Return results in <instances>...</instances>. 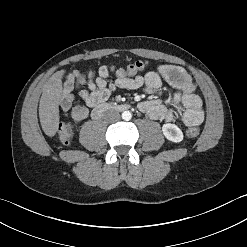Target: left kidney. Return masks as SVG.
Wrapping results in <instances>:
<instances>
[{
    "mask_svg": "<svg viewBox=\"0 0 247 247\" xmlns=\"http://www.w3.org/2000/svg\"><path fill=\"white\" fill-rule=\"evenodd\" d=\"M162 132L169 141L179 143L183 140V133L181 129L175 124H164L162 126Z\"/></svg>",
    "mask_w": 247,
    "mask_h": 247,
    "instance_id": "1",
    "label": "left kidney"
}]
</instances>
